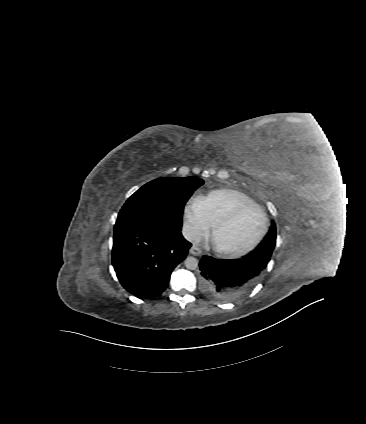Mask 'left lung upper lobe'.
Returning <instances> with one entry per match:
<instances>
[{
    "instance_id": "obj_1",
    "label": "left lung upper lobe",
    "mask_w": 366,
    "mask_h": 424,
    "mask_svg": "<svg viewBox=\"0 0 366 424\" xmlns=\"http://www.w3.org/2000/svg\"><path fill=\"white\" fill-rule=\"evenodd\" d=\"M276 244V225L272 221L271 228L269 233L266 235L264 240L259 244V246L250 254L254 257L261 258L267 262L270 261L273 249Z\"/></svg>"
}]
</instances>
